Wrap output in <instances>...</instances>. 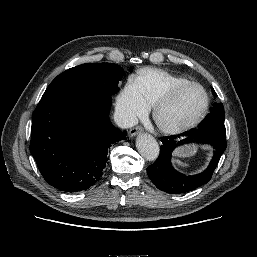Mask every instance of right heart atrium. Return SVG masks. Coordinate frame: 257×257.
<instances>
[{
	"label": "right heart atrium",
	"instance_id": "d8ad5b80",
	"mask_svg": "<svg viewBox=\"0 0 257 257\" xmlns=\"http://www.w3.org/2000/svg\"><path fill=\"white\" fill-rule=\"evenodd\" d=\"M116 109L125 124H133L146 115L150 106L145 101L134 80H128L116 98Z\"/></svg>",
	"mask_w": 257,
	"mask_h": 257
}]
</instances>
